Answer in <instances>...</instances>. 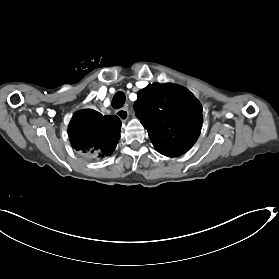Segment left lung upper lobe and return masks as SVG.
I'll return each mask as SVG.
<instances>
[{
    "label": "left lung upper lobe",
    "mask_w": 279,
    "mask_h": 279,
    "mask_svg": "<svg viewBox=\"0 0 279 279\" xmlns=\"http://www.w3.org/2000/svg\"><path fill=\"white\" fill-rule=\"evenodd\" d=\"M134 109L155 149L165 156L186 153L199 137L202 109L180 86L149 84L138 92Z\"/></svg>",
    "instance_id": "1"
}]
</instances>
